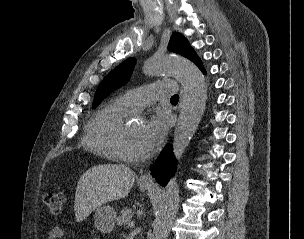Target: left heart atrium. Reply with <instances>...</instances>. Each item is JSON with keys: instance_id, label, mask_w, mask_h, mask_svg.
I'll use <instances>...</instances> for the list:
<instances>
[{"instance_id": "1", "label": "left heart atrium", "mask_w": 304, "mask_h": 239, "mask_svg": "<svg viewBox=\"0 0 304 239\" xmlns=\"http://www.w3.org/2000/svg\"><path fill=\"white\" fill-rule=\"evenodd\" d=\"M169 116L162 110L155 111L145 125L139 144L144 153L155 150L165 137L169 128Z\"/></svg>"}]
</instances>
